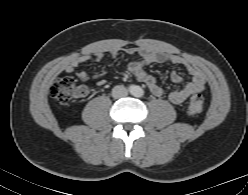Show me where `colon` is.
<instances>
[{
  "mask_svg": "<svg viewBox=\"0 0 248 195\" xmlns=\"http://www.w3.org/2000/svg\"><path fill=\"white\" fill-rule=\"evenodd\" d=\"M84 89L72 76L56 79L50 87V94L59 104L68 106L83 93ZM204 110V99L201 95H194L188 104L187 112L191 116H198Z\"/></svg>",
  "mask_w": 248,
  "mask_h": 195,
  "instance_id": "obj_1",
  "label": "colon"
}]
</instances>
